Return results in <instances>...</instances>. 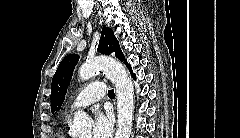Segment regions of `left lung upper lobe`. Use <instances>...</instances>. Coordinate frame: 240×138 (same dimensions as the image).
I'll return each mask as SVG.
<instances>
[{
	"instance_id": "1",
	"label": "left lung upper lobe",
	"mask_w": 240,
	"mask_h": 138,
	"mask_svg": "<svg viewBox=\"0 0 240 138\" xmlns=\"http://www.w3.org/2000/svg\"><path fill=\"white\" fill-rule=\"evenodd\" d=\"M98 52L103 54L114 53L115 56L124 61V55L119 47L118 40L114 36L112 29L103 27L101 32V39L99 41ZM79 60V56L76 54H70L66 56L59 64L57 71L52 79V91H51V111L54 113L59 110L65 99L66 91L70 79L73 74L75 65Z\"/></svg>"
}]
</instances>
